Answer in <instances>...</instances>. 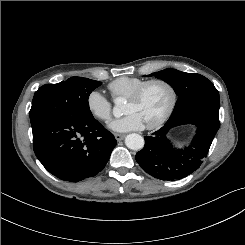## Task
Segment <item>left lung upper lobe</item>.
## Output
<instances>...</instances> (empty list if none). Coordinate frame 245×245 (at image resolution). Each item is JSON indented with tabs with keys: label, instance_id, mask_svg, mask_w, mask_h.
<instances>
[{
	"label": "left lung upper lobe",
	"instance_id": "obj_1",
	"mask_svg": "<svg viewBox=\"0 0 245 245\" xmlns=\"http://www.w3.org/2000/svg\"><path fill=\"white\" fill-rule=\"evenodd\" d=\"M152 75L169 83L179 96L169 119L195 106L211 105L219 107L217 89L210 80L200 74L168 68L149 76Z\"/></svg>",
	"mask_w": 245,
	"mask_h": 245
}]
</instances>
